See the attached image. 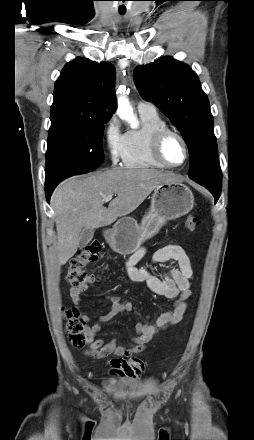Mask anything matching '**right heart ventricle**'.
<instances>
[{"mask_svg":"<svg viewBox=\"0 0 254 440\" xmlns=\"http://www.w3.org/2000/svg\"><path fill=\"white\" fill-rule=\"evenodd\" d=\"M142 125L138 129L126 133L123 153V164L129 168L164 169L151 153L153 135L161 128L167 127L166 122L157 112H139Z\"/></svg>","mask_w":254,"mask_h":440,"instance_id":"right-heart-ventricle-1","label":"right heart ventricle"}]
</instances>
